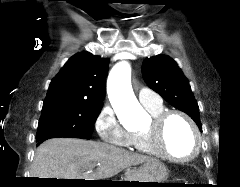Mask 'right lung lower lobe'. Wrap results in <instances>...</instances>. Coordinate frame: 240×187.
<instances>
[{
    "mask_svg": "<svg viewBox=\"0 0 240 187\" xmlns=\"http://www.w3.org/2000/svg\"><path fill=\"white\" fill-rule=\"evenodd\" d=\"M45 140H47V139H45ZM45 140H41V141H39V143H38V144L42 143V142H43V141H45Z\"/></svg>",
    "mask_w": 240,
    "mask_h": 187,
    "instance_id": "obj_1",
    "label": "right lung lower lobe"
}]
</instances>
